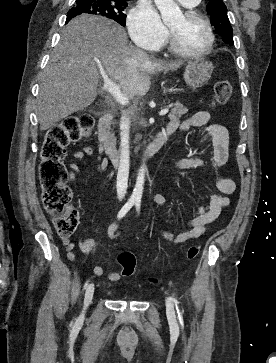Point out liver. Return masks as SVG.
<instances>
[{
	"instance_id": "obj_1",
	"label": "liver",
	"mask_w": 276,
	"mask_h": 363,
	"mask_svg": "<svg viewBox=\"0 0 276 363\" xmlns=\"http://www.w3.org/2000/svg\"><path fill=\"white\" fill-rule=\"evenodd\" d=\"M182 64L152 60L129 44L124 28L110 19L77 16L64 28L40 77V130L90 106L102 74L118 83L126 98L143 97L150 88L151 75L177 70Z\"/></svg>"
}]
</instances>
